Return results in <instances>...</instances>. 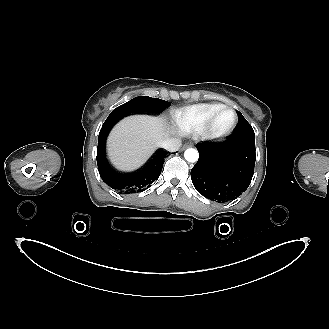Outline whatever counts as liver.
<instances>
[{
  "label": "liver",
  "mask_w": 329,
  "mask_h": 329,
  "mask_svg": "<svg viewBox=\"0 0 329 329\" xmlns=\"http://www.w3.org/2000/svg\"><path fill=\"white\" fill-rule=\"evenodd\" d=\"M168 136L169 130L163 118L147 115L127 117L113 128L108 137L109 159L120 170H133L143 164Z\"/></svg>",
  "instance_id": "6515ba94"
}]
</instances>
